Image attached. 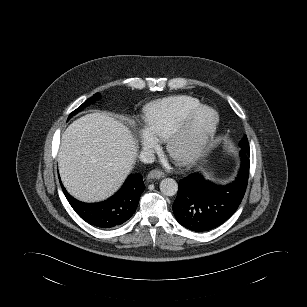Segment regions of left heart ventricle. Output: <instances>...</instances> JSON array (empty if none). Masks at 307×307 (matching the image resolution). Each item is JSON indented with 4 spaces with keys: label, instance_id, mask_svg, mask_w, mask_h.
<instances>
[{
    "label": "left heart ventricle",
    "instance_id": "obj_1",
    "mask_svg": "<svg viewBox=\"0 0 307 307\" xmlns=\"http://www.w3.org/2000/svg\"><path fill=\"white\" fill-rule=\"evenodd\" d=\"M211 121H212V114L210 112L203 111V112L199 113L193 119L192 124H191L190 129H189V133H188L186 139L184 141H182L181 143H179L175 147L174 153L176 155H181L184 152L187 143L189 141L194 140L202 132H204L208 128V126L210 125Z\"/></svg>",
    "mask_w": 307,
    "mask_h": 307
}]
</instances>
